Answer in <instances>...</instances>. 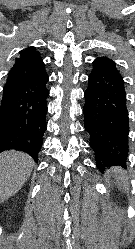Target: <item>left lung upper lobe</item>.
<instances>
[{"mask_svg": "<svg viewBox=\"0 0 135 249\" xmlns=\"http://www.w3.org/2000/svg\"><path fill=\"white\" fill-rule=\"evenodd\" d=\"M94 62H96V63H98V64H100L102 66L108 67V68L112 69L113 71L119 73V71L117 70V68L115 66L116 65L115 62L112 61L111 59L107 58V57H104V56L103 57H98V58H96L94 60Z\"/></svg>", "mask_w": 135, "mask_h": 249, "instance_id": "5c2ea615", "label": "left lung upper lobe"}]
</instances>
